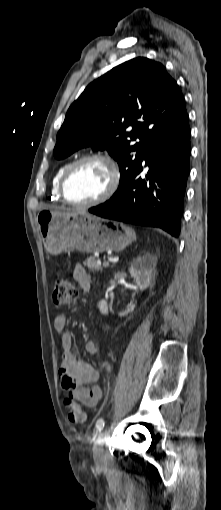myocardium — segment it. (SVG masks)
Segmentation results:
<instances>
[{"mask_svg":"<svg viewBox=\"0 0 221 510\" xmlns=\"http://www.w3.org/2000/svg\"><path fill=\"white\" fill-rule=\"evenodd\" d=\"M87 161H99L106 165V167L110 171V182L106 190L97 198L88 201V202H73L71 201L66 194V183L68 180L69 175L71 172L80 164L87 162ZM120 170L115 162V160L108 154L104 153H89L85 154L71 163L65 168L59 182V195L63 202H65L67 205L75 208H91L93 206L99 205L108 199H110L117 191L119 184H120Z\"/></svg>","mask_w":221,"mask_h":510,"instance_id":"obj_1","label":"myocardium"}]
</instances>
